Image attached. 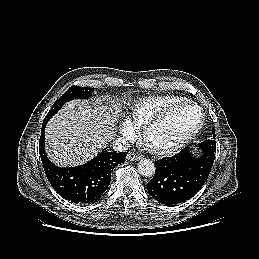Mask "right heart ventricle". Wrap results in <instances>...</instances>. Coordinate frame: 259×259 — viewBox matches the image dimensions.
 <instances>
[{
  "mask_svg": "<svg viewBox=\"0 0 259 259\" xmlns=\"http://www.w3.org/2000/svg\"><path fill=\"white\" fill-rule=\"evenodd\" d=\"M185 101L187 99L175 95L141 98L132 104L128 121L135 127H141L168 108Z\"/></svg>",
  "mask_w": 259,
  "mask_h": 259,
  "instance_id": "right-heart-ventricle-1",
  "label": "right heart ventricle"
}]
</instances>
